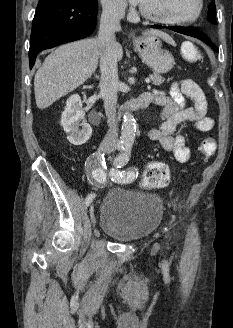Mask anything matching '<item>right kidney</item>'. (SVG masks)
<instances>
[{"instance_id":"ca27d5eb","label":"right kidney","mask_w":233,"mask_h":328,"mask_svg":"<svg viewBox=\"0 0 233 328\" xmlns=\"http://www.w3.org/2000/svg\"><path fill=\"white\" fill-rule=\"evenodd\" d=\"M61 125L68 134V141L76 146L86 143L92 134V128L87 123L83 104L78 94H74L66 101L65 110L61 115ZM82 126V130H79Z\"/></svg>"}]
</instances>
